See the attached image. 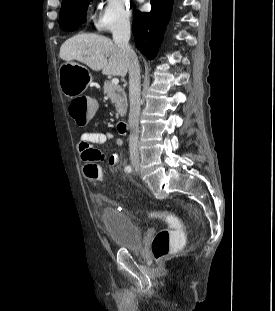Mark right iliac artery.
Listing matches in <instances>:
<instances>
[{
	"mask_svg": "<svg viewBox=\"0 0 275 311\" xmlns=\"http://www.w3.org/2000/svg\"><path fill=\"white\" fill-rule=\"evenodd\" d=\"M125 171L128 172V173H130V172L132 171V167L128 165V166L125 168Z\"/></svg>",
	"mask_w": 275,
	"mask_h": 311,
	"instance_id": "1",
	"label": "right iliac artery"
}]
</instances>
